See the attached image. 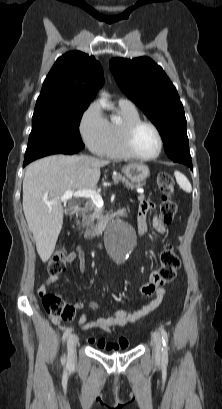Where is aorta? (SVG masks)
Returning <instances> with one entry per match:
<instances>
[{
    "mask_svg": "<svg viewBox=\"0 0 222 409\" xmlns=\"http://www.w3.org/2000/svg\"><path fill=\"white\" fill-rule=\"evenodd\" d=\"M134 231L126 222H114L107 234L108 245L112 254L118 258L127 257L133 248Z\"/></svg>",
    "mask_w": 222,
    "mask_h": 409,
    "instance_id": "762f6f07",
    "label": "aorta"
}]
</instances>
